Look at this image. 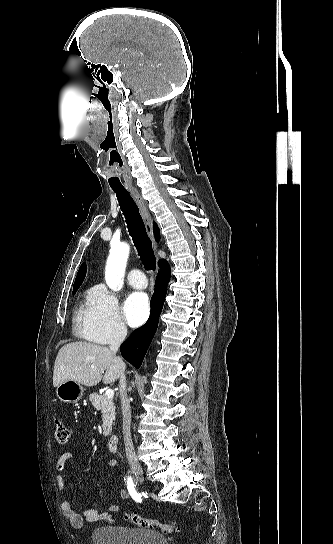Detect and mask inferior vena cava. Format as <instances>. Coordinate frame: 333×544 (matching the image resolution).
<instances>
[{
    "instance_id": "602c4592",
    "label": "inferior vena cava",
    "mask_w": 333,
    "mask_h": 544,
    "mask_svg": "<svg viewBox=\"0 0 333 544\" xmlns=\"http://www.w3.org/2000/svg\"><path fill=\"white\" fill-rule=\"evenodd\" d=\"M126 335H127V330L125 327H119L115 331L109 346V349L113 354H115L118 351L119 346L124 341ZM119 392H120L121 409H122V416H123V435H124L126 457L130 467L139 469L140 464L138 462V459L134 450L133 442L131 439V433H130L131 410H130V403H129L127 392H126V377L124 374V370L121 371L119 375Z\"/></svg>"
}]
</instances>
